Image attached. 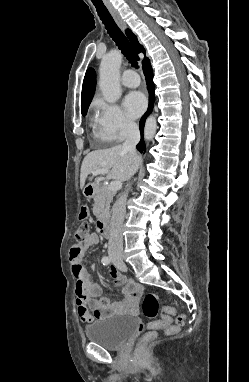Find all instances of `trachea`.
<instances>
[{"instance_id": "trachea-1", "label": "trachea", "mask_w": 249, "mask_h": 382, "mask_svg": "<svg viewBox=\"0 0 249 382\" xmlns=\"http://www.w3.org/2000/svg\"><path fill=\"white\" fill-rule=\"evenodd\" d=\"M92 1L96 8L98 16L100 17L102 23L104 24L107 30V33L110 35V37L119 47V49L122 51V53L127 58V60H129L132 66L138 68L139 57L137 53L133 49L129 40L125 37V35L119 29V27L113 20L112 16L110 15L105 5L102 2H96V0H92Z\"/></svg>"}]
</instances>
